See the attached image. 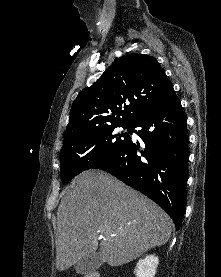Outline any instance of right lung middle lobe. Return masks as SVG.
<instances>
[{
  "label": "right lung middle lobe",
  "instance_id": "obj_1",
  "mask_svg": "<svg viewBox=\"0 0 221 277\" xmlns=\"http://www.w3.org/2000/svg\"><path fill=\"white\" fill-rule=\"evenodd\" d=\"M122 127L127 132L119 131ZM132 126L114 124L82 131L64 141L61 152V179L67 183L84 170L114 154L131 141Z\"/></svg>",
  "mask_w": 221,
  "mask_h": 277
}]
</instances>
